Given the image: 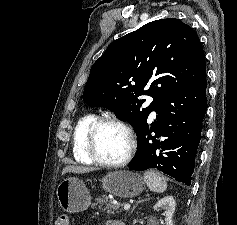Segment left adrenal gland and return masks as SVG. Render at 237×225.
Returning a JSON list of instances; mask_svg holds the SVG:
<instances>
[{
  "label": "left adrenal gland",
  "mask_w": 237,
  "mask_h": 225,
  "mask_svg": "<svg viewBox=\"0 0 237 225\" xmlns=\"http://www.w3.org/2000/svg\"><path fill=\"white\" fill-rule=\"evenodd\" d=\"M147 200H149V198H148V199H143V200L137 201L136 204L133 206V208H132V210H131L130 213L132 214V212L135 210V208H136L140 203H142V202H144V201H147Z\"/></svg>",
  "instance_id": "1"
}]
</instances>
